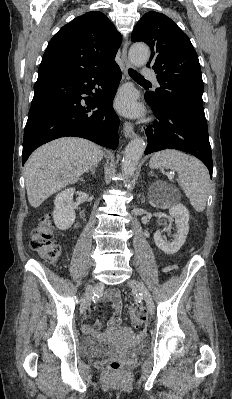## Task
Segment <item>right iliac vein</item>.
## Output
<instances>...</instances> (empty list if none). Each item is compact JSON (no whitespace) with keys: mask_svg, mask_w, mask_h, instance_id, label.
Instances as JSON below:
<instances>
[{"mask_svg":"<svg viewBox=\"0 0 232 399\" xmlns=\"http://www.w3.org/2000/svg\"><path fill=\"white\" fill-rule=\"evenodd\" d=\"M84 299L85 300L81 302V308L78 309L79 313H84L85 310H88V304L89 302L92 301V291L90 286L86 287V291L84 293Z\"/></svg>","mask_w":232,"mask_h":399,"instance_id":"right-iliac-vein-1","label":"right iliac vein"}]
</instances>
